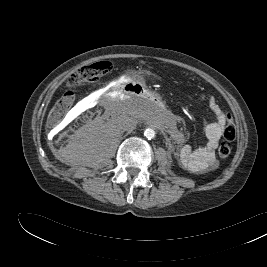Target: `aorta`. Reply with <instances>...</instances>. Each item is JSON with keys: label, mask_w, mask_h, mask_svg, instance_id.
Wrapping results in <instances>:
<instances>
[{"label": "aorta", "mask_w": 267, "mask_h": 267, "mask_svg": "<svg viewBox=\"0 0 267 267\" xmlns=\"http://www.w3.org/2000/svg\"><path fill=\"white\" fill-rule=\"evenodd\" d=\"M144 136L151 140L155 137V131L151 128H147L145 131H144Z\"/></svg>", "instance_id": "762f6f07"}]
</instances>
